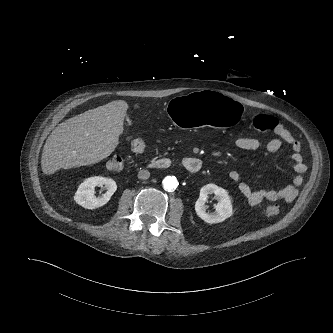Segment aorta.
<instances>
[{
  "mask_svg": "<svg viewBox=\"0 0 333 333\" xmlns=\"http://www.w3.org/2000/svg\"><path fill=\"white\" fill-rule=\"evenodd\" d=\"M178 186V181L175 177L167 176L163 180V187L167 190H174Z\"/></svg>",
  "mask_w": 333,
  "mask_h": 333,
  "instance_id": "obj_1",
  "label": "aorta"
}]
</instances>
